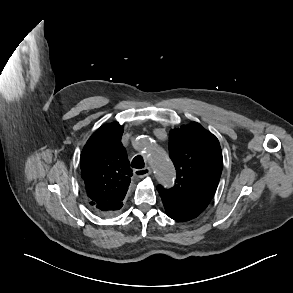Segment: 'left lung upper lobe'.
<instances>
[{
    "instance_id": "1",
    "label": "left lung upper lobe",
    "mask_w": 293,
    "mask_h": 293,
    "mask_svg": "<svg viewBox=\"0 0 293 293\" xmlns=\"http://www.w3.org/2000/svg\"><path fill=\"white\" fill-rule=\"evenodd\" d=\"M169 153L177 179L170 190L159 185L158 192L200 214L213 198L222 172L218 139L194 122L170 131Z\"/></svg>"
}]
</instances>
